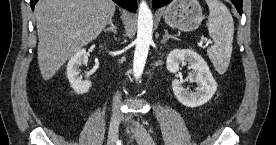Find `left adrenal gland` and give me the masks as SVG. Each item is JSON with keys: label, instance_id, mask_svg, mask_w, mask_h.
<instances>
[{"label": "left adrenal gland", "instance_id": "1", "mask_svg": "<svg viewBox=\"0 0 276 145\" xmlns=\"http://www.w3.org/2000/svg\"><path fill=\"white\" fill-rule=\"evenodd\" d=\"M164 31H165V35L163 36V39L161 40V44H164V43H166V41L168 40V39H175V40H179L177 37H175V36H172V35H169V33H168V31L166 30V29H164Z\"/></svg>", "mask_w": 276, "mask_h": 145}]
</instances>
